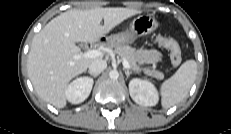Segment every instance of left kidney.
Segmentation results:
<instances>
[{
    "label": "left kidney",
    "instance_id": "1",
    "mask_svg": "<svg viewBox=\"0 0 231 134\" xmlns=\"http://www.w3.org/2000/svg\"><path fill=\"white\" fill-rule=\"evenodd\" d=\"M131 98L142 106H155L159 101L155 86L148 80L134 78L129 82Z\"/></svg>",
    "mask_w": 231,
    "mask_h": 134
}]
</instances>
